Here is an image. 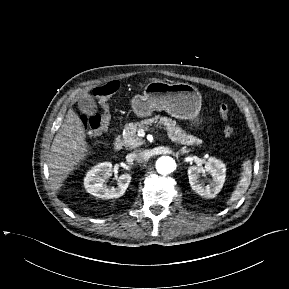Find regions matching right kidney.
Returning <instances> with one entry per match:
<instances>
[{
	"mask_svg": "<svg viewBox=\"0 0 289 289\" xmlns=\"http://www.w3.org/2000/svg\"><path fill=\"white\" fill-rule=\"evenodd\" d=\"M112 164L110 162H103L92 167L84 178V187L88 193L102 199L119 198L124 195L131 176L129 174H122L118 178L117 187L107 188L104 185L106 178L111 176Z\"/></svg>",
	"mask_w": 289,
	"mask_h": 289,
	"instance_id": "obj_1",
	"label": "right kidney"
}]
</instances>
